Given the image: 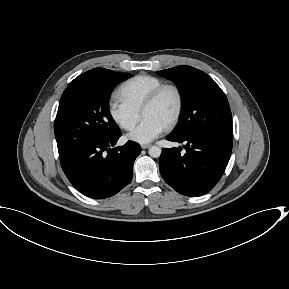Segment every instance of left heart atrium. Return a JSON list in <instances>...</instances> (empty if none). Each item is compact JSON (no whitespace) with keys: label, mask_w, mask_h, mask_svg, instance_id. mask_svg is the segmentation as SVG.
<instances>
[{"label":"left heart atrium","mask_w":289,"mask_h":289,"mask_svg":"<svg viewBox=\"0 0 289 289\" xmlns=\"http://www.w3.org/2000/svg\"><path fill=\"white\" fill-rule=\"evenodd\" d=\"M166 125L150 117L143 118L141 123L128 134V139L137 143L146 144L156 139Z\"/></svg>","instance_id":"left-heart-atrium-1"}]
</instances>
